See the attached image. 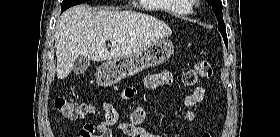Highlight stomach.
Returning a JSON list of instances; mask_svg holds the SVG:
<instances>
[{"instance_id": "0dacf381", "label": "stomach", "mask_w": 280, "mask_h": 137, "mask_svg": "<svg viewBox=\"0 0 280 137\" xmlns=\"http://www.w3.org/2000/svg\"><path fill=\"white\" fill-rule=\"evenodd\" d=\"M173 53L174 46L171 41L157 40L136 54L103 63L98 68V82L103 86L113 85L123 78L165 63Z\"/></svg>"}]
</instances>
